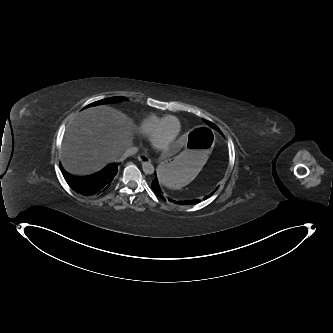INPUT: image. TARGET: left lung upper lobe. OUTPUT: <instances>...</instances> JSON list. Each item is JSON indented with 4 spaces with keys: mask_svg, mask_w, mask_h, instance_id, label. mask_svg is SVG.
<instances>
[{
    "mask_svg": "<svg viewBox=\"0 0 333 333\" xmlns=\"http://www.w3.org/2000/svg\"><path fill=\"white\" fill-rule=\"evenodd\" d=\"M210 127H212V128H214V129H216L218 132H220V130L218 129V127L217 126H215L213 123H211V122H209V121H207V120H205V119H203Z\"/></svg>",
    "mask_w": 333,
    "mask_h": 333,
    "instance_id": "1",
    "label": "left lung upper lobe"
}]
</instances>
